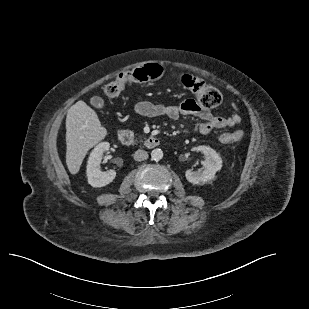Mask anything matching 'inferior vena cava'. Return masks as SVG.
I'll return each instance as SVG.
<instances>
[{
  "mask_svg": "<svg viewBox=\"0 0 309 309\" xmlns=\"http://www.w3.org/2000/svg\"><path fill=\"white\" fill-rule=\"evenodd\" d=\"M134 159L135 161H143L148 159V153L145 150H137L134 153Z\"/></svg>",
  "mask_w": 309,
  "mask_h": 309,
  "instance_id": "inferior-vena-cava-1",
  "label": "inferior vena cava"
}]
</instances>
